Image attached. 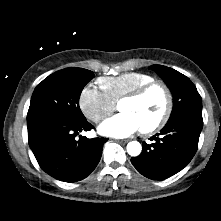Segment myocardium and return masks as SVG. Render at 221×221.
I'll list each match as a JSON object with an SVG mask.
<instances>
[{"label":"myocardium","instance_id":"myocardium-1","mask_svg":"<svg viewBox=\"0 0 221 221\" xmlns=\"http://www.w3.org/2000/svg\"><path fill=\"white\" fill-rule=\"evenodd\" d=\"M154 89H160L164 95V99H165L164 110H163L162 115L156 122H154L153 124L149 126L141 128V131L144 134H151V133L159 131L169 121L171 114H172V110H173V96L169 87L161 81L154 80L126 94L119 101V104H120L121 102L127 101V100L141 99Z\"/></svg>","mask_w":221,"mask_h":221}]
</instances>
